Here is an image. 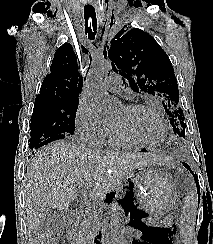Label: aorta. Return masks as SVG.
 Returning a JSON list of instances; mask_svg holds the SVG:
<instances>
[{"label": "aorta", "mask_w": 213, "mask_h": 244, "mask_svg": "<svg viewBox=\"0 0 213 244\" xmlns=\"http://www.w3.org/2000/svg\"><path fill=\"white\" fill-rule=\"evenodd\" d=\"M111 70V61L107 59H99L91 65L88 72V93L92 103L103 117H111L115 115L120 108V102L111 97L102 87V83ZM120 212L121 206L117 202H112L108 210L110 218V244H125Z\"/></svg>", "instance_id": "aorta-1"}]
</instances>
